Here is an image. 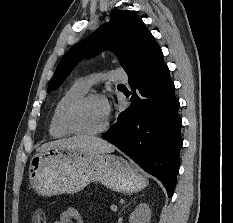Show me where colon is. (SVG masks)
<instances>
[{
	"mask_svg": "<svg viewBox=\"0 0 233 223\" xmlns=\"http://www.w3.org/2000/svg\"><path fill=\"white\" fill-rule=\"evenodd\" d=\"M32 223H45L44 216L42 214H35Z\"/></svg>",
	"mask_w": 233,
	"mask_h": 223,
	"instance_id": "obj_1",
	"label": "colon"
}]
</instances>
